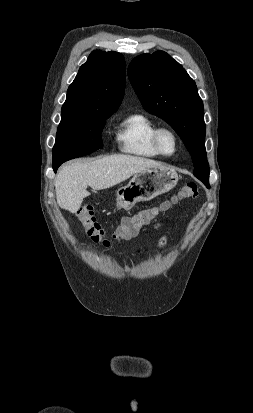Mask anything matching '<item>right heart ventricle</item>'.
Wrapping results in <instances>:
<instances>
[{
  "label": "right heart ventricle",
  "mask_w": 253,
  "mask_h": 413,
  "mask_svg": "<svg viewBox=\"0 0 253 413\" xmlns=\"http://www.w3.org/2000/svg\"><path fill=\"white\" fill-rule=\"evenodd\" d=\"M157 123L143 113H132L118 125L115 138L121 152L142 158H155L159 153L152 144Z\"/></svg>",
  "instance_id": "right-heart-ventricle-1"
}]
</instances>
